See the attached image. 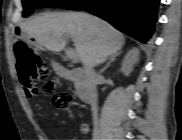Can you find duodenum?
I'll return each mask as SVG.
<instances>
[{"label": "duodenum", "mask_w": 182, "mask_h": 140, "mask_svg": "<svg viewBox=\"0 0 182 140\" xmlns=\"http://www.w3.org/2000/svg\"><path fill=\"white\" fill-rule=\"evenodd\" d=\"M70 75L78 83L77 97L79 100L83 103L90 102L92 98V92L87 84V78L85 74L79 70H73L70 72Z\"/></svg>", "instance_id": "1"}]
</instances>
